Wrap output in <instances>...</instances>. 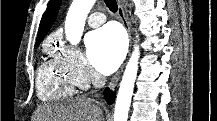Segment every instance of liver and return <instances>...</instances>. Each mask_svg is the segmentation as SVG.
<instances>
[{
    "label": "liver",
    "instance_id": "obj_1",
    "mask_svg": "<svg viewBox=\"0 0 217 121\" xmlns=\"http://www.w3.org/2000/svg\"><path fill=\"white\" fill-rule=\"evenodd\" d=\"M37 121H103V112L93 99L77 97L41 107Z\"/></svg>",
    "mask_w": 217,
    "mask_h": 121
}]
</instances>
